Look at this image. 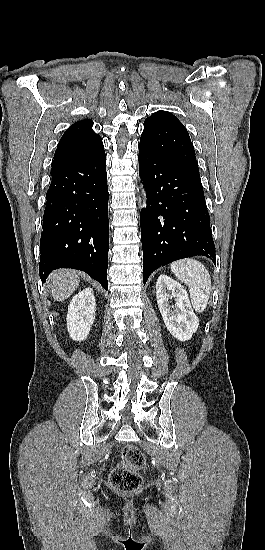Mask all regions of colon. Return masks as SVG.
Here are the masks:
<instances>
[{
  "label": "colon",
  "mask_w": 265,
  "mask_h": 550,
  "mask_svg": "<svg viewBox=\"0 0 265 550\" xmlns=\"http://www.w3.org/2000/svg\"><path fill=\"white\" fill-rule=\"evenodd\" d=\"M146 463L142 451L134 446L122 448L120 461L112 469L109 476L110 487L117 492H132L140 489L143 480L140 471Z\"/></svg>",
  "instance_id": "colon-1"
}]
</instances>
